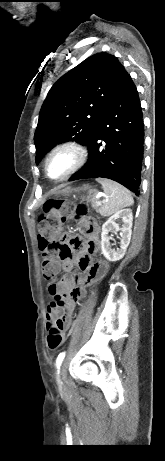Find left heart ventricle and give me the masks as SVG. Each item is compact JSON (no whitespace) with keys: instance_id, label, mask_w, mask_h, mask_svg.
<instances>
[{"instance_id":"1","label":"left heart ventricle","mask_w":165,"mask_h":461,"mask_svg":"<svg viewBox=\"0 0 165 461\" xmlns=\"http://www.w3.org/2000/svg\"><path fill=\"white\" fill-rule=\"evenodd\" d=\"M70 163V157L67 154H58L53 157L48 165L49 175L53 178L60 176Z\"/></svg>"}]
</instances>
